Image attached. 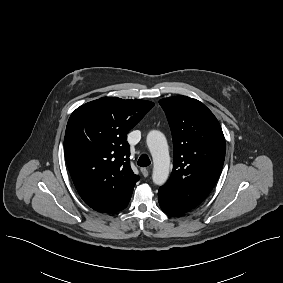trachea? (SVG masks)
Masks as SVG:
<instances>
[{
	"instance_id": "trachea-1",
	"label": "trachea",
	"mask_w": 283,
	"mask_h": 283,
	"mask_svg": "<svg viewBox=\"0 0 283 283\" xmlns=\"http://www.w3.org/2000/svg\"><path fill=\"white\" fill-rule=\"evenodd\" d=\"M151 161L149 159V157L145 154L141 155L138 159V165L141 167H146L148 165H150Z\"/></svg>"
}]
</instances>
